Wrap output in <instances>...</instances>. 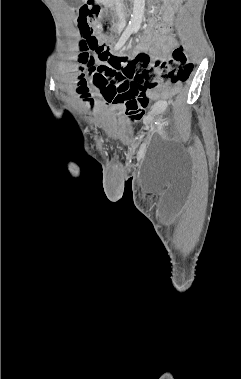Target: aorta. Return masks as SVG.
I'll use <instances>...</instances> for the list:
<instances>
[{"instance_id":"obj_1","label":"aorta","mask_w":241,"mask_h":379,"mask_svg":"<svg viewBox=\"0 0 241 379\" xmlns=\"http://www.w3.org/2000/svg\"><path fill=\"white\" fill-rule=\"evenodd\" d=\"M145 10V0H133V12L129 23L130 28L137 31L142 23Z\"/></svg>"}]
</instances>
